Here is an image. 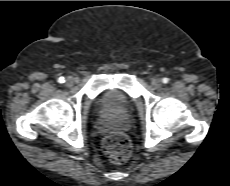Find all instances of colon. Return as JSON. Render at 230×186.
Wrapping results in <instances>:
<instances>
[{
	"label": "colon",
	"mask_w": 230,
	"mask_h": 186,
	"mask_svg": "<svg viewBox=\"0 0 230 186\" xmlns=\"http://www.w3.org/2000/svg\"><path fill=\"white\" fill-rule=\"evenodd\" d=\"M103 147L108 157L115 163H123L130 157L131 145L128 137L123 133L106 136Z\"/></svg>",
	"instance_id": "obj_1"
}]
</instances>
